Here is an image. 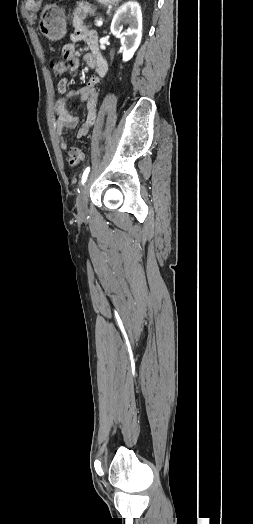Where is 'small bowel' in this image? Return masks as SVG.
Masks as SVG:
<instances>
[{
  "label": "small bowel",
  "mask_w": 253,
  "mask_h": 524,
  "mask_svg": "<svg viewBox=\"0 0 253 524\" xmlns=\"http://www.w3.org/2000/svg\"><path fill=\"white\" fill-rule=\"evenodd\" d=\"M79 42L85 43L90 52L84 55V61L89 66L94 74L88 83L76 90H67L68 79L61 77L57 90L61 95L67 98L79 97L86 106L85 121L77 131V138L84 137L89 129L95 124L97 118V110L99 106V99L96 93V86L107 75L108 64L98 48L97 33L84 26L80 20L74 21V32L71 35V42L66 44L63 48V58L65 59V71L68 74L73 73L79 67V61L75 54L76 44ZM57 113L56 133L59 139V144L62 150L67 151L69 145L65 136V129H73L78 124V118L73 116L68 109L66 98H60L55 104Z\"/></svg>",
  "instance_id": "obj_1"
}]
</instances>
